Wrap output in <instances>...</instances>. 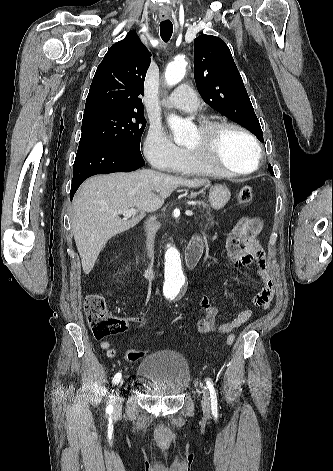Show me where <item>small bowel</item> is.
<instances>
[{
    "label": "small bowel",
    "mask_w": 333,
    "mask_h": 471,
    "mask_svg": "<svg viewBox=\"0 0 333 471\" xmlns=\"http://www.w3.org/2000/svg\"><path fill=\"white\" fill-rule=\"evenodd\" d=\"M262 230V222L256 218H241L228 234L226 250L231 263L236 267H245L255 264L257 275L263 287L254 296L253 303L262 309H267L273 299L275 286L266 264L265 251L258 240ZM200 238V237H199ZM202 315L197 322L198 331L202 334L218 330L222 334H229L249 321L253 312L251 309L241 311L230 322L217 324L218 308L214 306L208 296H203L200 301ZM130 321L145 324L142 317H132ZM100 346L105 350L107 357L113 358L116 351L109 341H102Z\"/></svg>",
    "instance_id": "1"
}]
</instances>
